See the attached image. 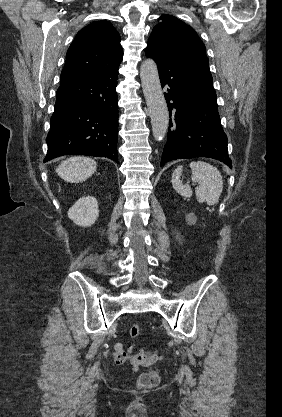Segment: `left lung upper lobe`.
Wrapping results in <instances>:
<instances>
[{
	"label": "left lung upper lobe",
	"instance_id": "obj_1",
	"mask_svg": "<svg viewBox=\"0 0 282 417\" xmlns=\"http://www.w3.org/2000/svg\"><path fill=\"white\" fill-rule=\"evenodd\" d=\"M149 37L147 48L170 60L208 62L205 46L195 30L172 15L163 14Z\"/></svg>",
	"mask_w": 282,
	"mask_h": 417
}]
</instances>
